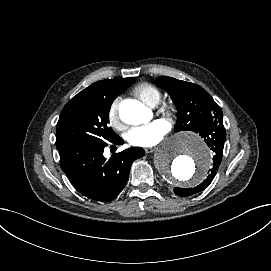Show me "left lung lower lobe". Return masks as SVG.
Returning a JSON list of instances; mask_svg holds the SVG:
<instances>
[{"label": "left lung lower lobe", "instance_id": "1", "mask_svg": "<svg viewBox=\"0 0 271 271\" xmlns=\"http://www.w3.org/2000/svg\"><path fill=\"white\" fill-rule=\"evenodd\" d=\"M199 135L204 139L210 150L213 151V168L211 169L209 176L197 187L187 189L175 187V194L181 197L198 193L204 190L212 182L222 161L223 147L226 139V131L223 125V118L212 124L208 129L199 132Z\"/></svg>", "mask_w": 271, "mask_h": 271}]
</instances>
